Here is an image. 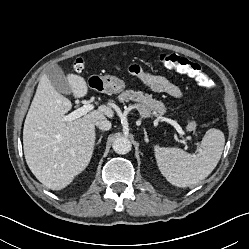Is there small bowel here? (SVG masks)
Segmentation results:
<instances>
[{
    "label": "small bowel",
    "instance_id": "small-bowel-1",
    "mask_svg": "<svg viewBox=\"0 0 249 249\" xmlns=\"http://www.w3.org/2000/svg\"><path fill=\"white\" fill-rule=\"evenodd\" d=\"M129 71L132 75L136 76L146 88L155 93H166L174 98L182 97L180 88L163 76L150 73L138 65L130 66Z\"/></svg>",
    "mask_w": 249,
    "mask_h": 249
}]
</instances>
